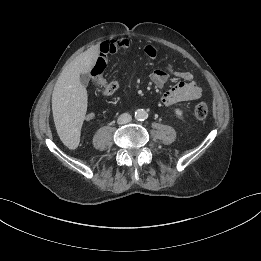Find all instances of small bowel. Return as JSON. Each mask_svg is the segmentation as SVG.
<instances>
[{"label":"small bowel","instance_id":"1","mask_svg":"<svg viewBox=\"0 0 261 261\" xmlns=\"http://www.w3.org/2000/svg\"><path fill=\"white\" fill-rule=\"evenodd\" d=\"M129 48L130 42L127 38L103 41L99 46V55L95 67H102L104 70L109 55L126 51ZM142 51L150 59H156L158 56L157 49L151 44L145 45ZM171 76L179 78V81L163 93L161 102L164 106L170 107L180 102L193 101L201 96V88L193 79L192 74L187 71H176L171 64L156 69L151 74V80L158 88H163L169 82ZM107 83L112 88L111 94L119 88V82L116 80ZM94 118L95 114L93 112H89L85 116L86 121H92Z\"/></svg>","mask_w":261,"mask_h":261}]
</instances>
